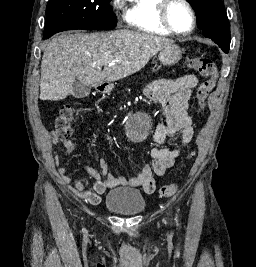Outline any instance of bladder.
I'll use <instances>...</instances> for the list:
<instances>
[{
    "mask_svg": "<svg viewBox=\"0 0 256 267\" xmlns=\"http://www.w3.org/2000/svg\"><path fill=\"white\" fill-rule=\"evenodd\" d=\"M105 207L119 216L138 215L144 210V199L137 190L115 189L107 193Z\"/></svg>",
    "mask_w": 256,
    "mask_h": 267,
    "instance_id": "1",
    "label": "bladder"
}]
</instances>
